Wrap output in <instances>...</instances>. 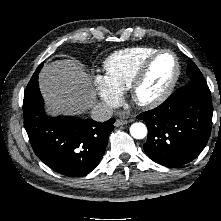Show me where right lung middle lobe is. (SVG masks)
<instances>
[{
	"label": "right lung middle lobe",
	"mask_w": 221,
	"mask_h": 221,
	"mask_svg": "<svg viewBox=\"0 0 221 221\" xmlns=\"http://www.w3.org/2000/svg\"><path fill=\"white\" fill-rule=\"evenodd\" d=\"M42 66H43V64H41V65L38 67V69H41V68H42Z\"/></svg>",
	"instance_id": "right-lung-middle-lobe-1"
}]
</instances>
